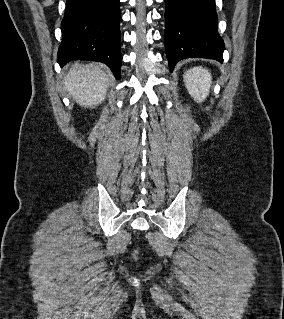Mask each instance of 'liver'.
Masks as SVG:
<instances>
[{"label":"liver","instance_id":"obj_1","mask_svg":"<svg viewBox=\"0 0 284 319\" xmlns=\"http://www.w3.org/2000/svg\"><path fill=\"white\" fill-rule=\"evenodd\" d=\"M112 80V73L98 63L75 62L65 78V88L79 105L94 108L105 100Z\"/></svg>","mask_w":284,"mask_h":319}]
</instances>
